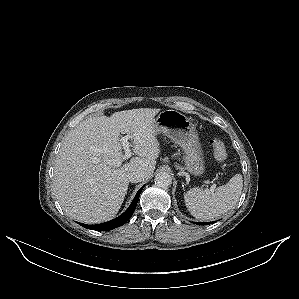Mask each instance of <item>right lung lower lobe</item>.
Here are the masks:
<instances>
[{
    "instance_id": "right-lung-lower-lobe-1",
    "label": "right lung lower lobe",
    "mask_w": 299,
    "mask_h": 299,
    "mask_svg": "<svg viewBox=\"0 0 299 299\" xmlns=\"http://www.w3.org/2000/svg\"><path fill=\"white\" fill-rule=\"evenodd\" d=\"M143 187L139 189V191L137 192V194H136L135 198L133 199L129 208L119 217H117L111 221L101 223V224L87 225V224H82L79 222H78V224H80L81 226H83L87 229H91V230H95V231H108V230H112L114 228H117V227L125 224L131 218V216L133 215V213L135 211V208H136V205H137V202H138V199H139V196L141 194Z\"/></svg>"
}]
</instances>
